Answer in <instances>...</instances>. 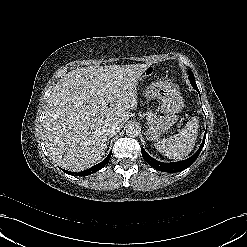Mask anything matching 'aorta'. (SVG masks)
<instances>
[{
	"mask_svg": "<svg viewBox=\"0 0 247 247\" xmlns=\"http://www.w3.org/2000/svg\"><path fill=\"white\" fill-rule=\"evenodd\" d=\"M126 134L129 137H137L139 134V130L135 125H130L126 128Z\"/></svg>",
	"mask_w": 247,
	"mask_h": 247,
	"instance_id": "aorta-1",
	"label": "aorta"
}]
</instances>
